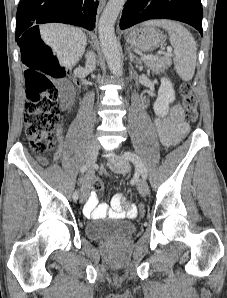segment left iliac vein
<instances>
[{"instance_id":"1","label":"left iliac vein","mask_w":227,"mask_h":298,"mask_svg":"<svg viewBox=\"0 0 227 298\" xmlns=\"http://www.w3.org/2000/svg\"><path fill=\"white\" fill-rule=\"evenodd\" d=\"M109 167L116 173L125 174L130 170L129 162L124 157H114L109 161ZM137 188L141 196L145 197L149 194V186L145 179H139Z\"/></svg>"}]
</instances>
